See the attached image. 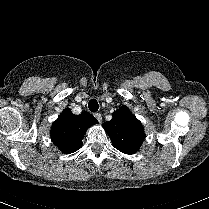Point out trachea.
<instances>
[{
    "label": "trachea",
    "instance_id": "obj_1",
    "mask_svg": "<svg viewBox=\"0 0 209 209\" xmlns=\"http://www.w3.org/2000/svg\"><path fill=\"white\" fill-rule=\"evenodd\" d=\"M88 108L91 112H96L99 109L98 102L95 99H91L88 103Z\"/></svg>",
    "mask_w": 209,
    "mask_h": 209
}]
</instances>
